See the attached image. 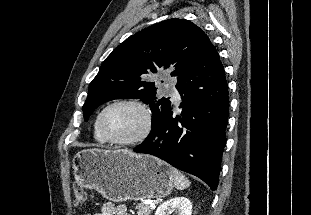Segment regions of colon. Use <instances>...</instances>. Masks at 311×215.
<instances>
[{
  "instance_id": "colon-1",
  "label": "colon",
  "mask_w": 311,
  "mask_h": 215,
  "mask_svg": "<svg viewBox=\"0 0 311 215\" xmlns=\"http://www.w3.org/2000/svg\"><path fill=\"white\" fill-rule=\"evenodd\" d=\"M87 200V193L83 188L77 186L74 189V201L77 205H83Z\"/></svg>"
}]
</instances>
